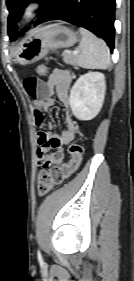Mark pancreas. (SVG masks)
<instances>
[{"instance_id":"obj_1","label":"pancreas","mask_w":134,"mask_h":281,"mask_svg":"<svg viewBox=\"0 0 134 281\" xmlns=\"http://www.w3.org/2000/svg\"><path fill=\"white\" fill-rule=\"evenodd\" d=\"M63 60L66 64L72 65L77 69V56L71 52H63L62 54Z\"/></svg>"}]
</instances>
